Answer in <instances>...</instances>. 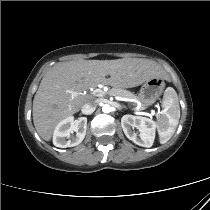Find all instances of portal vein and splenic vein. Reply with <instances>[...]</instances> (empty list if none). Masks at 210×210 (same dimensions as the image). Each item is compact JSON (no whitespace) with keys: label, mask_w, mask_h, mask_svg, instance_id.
<instances>
[{"label":"portal vein and splenic vein","mask_w":210,"mask_h":210,"mask_svg":"<svg viewBox=\"0 0 210 210\" xmlns=\"http://www.w3.org/2000/svg\"><path fill=\"white\" fill-rule=\"evenodd\" d=\"M104 94H105V92L103 90H101V89L94 90V95L97 96V97H102ZM72 95H76V92H72ZM125 101H128V100L125 99ZM130 108H132V107H130ZM142 114L143 115H153L154 113L152 112L151 114H149V113H146V112H142Z\"/></svg>","instance_id":"1"}]
</instances>
